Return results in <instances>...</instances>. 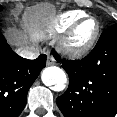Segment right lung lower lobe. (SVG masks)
Returning <instances> with one entry per match:
<instances>
[{
  "label": "right lung lower lobe",
  "mask_w": 117,
  "mask_h": 117,
  "mask_svg": "<svg viewBox=\"0 0 117 117\" xmlns=\"http://www.w3.org/2000/svg\"><path fill=\"white\" fill-rule=\"evenodd\" d=\"M46 65V55L28 60L17 55L0 32V117H18L27 93Z\"/></svg>",
  "instance_id": "1"
}]
</instances>
